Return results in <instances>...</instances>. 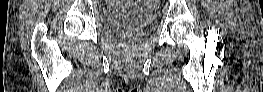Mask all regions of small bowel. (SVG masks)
Wrapping results in <instances>:
<instances>
[{"mask_svg":"<svg viewBox=\"0 0 263 92\" xmlns=\"http://www.w3.org/2000/svg\"><path fill=\"white\" fill-rule=\"evenodd\" d=\"M123 4H130V3H128V2H125V3H123Z\"/></svg>","mask_w":263,"mask_h":92,"instance_id":"obj_1","label":"small bowel"}]
</instances>
